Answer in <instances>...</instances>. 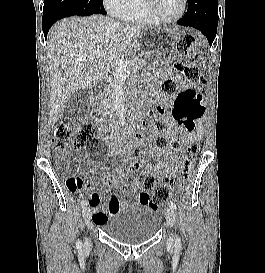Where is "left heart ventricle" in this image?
<instances>
[{
	"instance_id": "b2bd125f",
	"label": "left heart ventricle",
	"mask_w": 265,
	"mask_h": 273,
	"mask_svg": "<svg viewBox=\"0 0 265 273\" xmlns=\"http://www.w3.org/2000/svg\"><path fill=\"white\" fill-rule=\"evenodd\" d=\"M156 10L163 18H174L182 10V0H156Z\"/></svg>"
}]
</instances>
